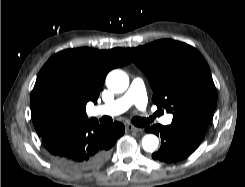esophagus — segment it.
<instances>
[{"instance_id":"obj_1","label":"esophagus","mask_w":245,"mask_h":187,"mask_svg":"<svg viewBox=\"0 0 245 187\" xmlns=\"http://www.w3.org/2000/svg\"><path fill=\"white\" fill-rule=\"evenodd\" d=\"M126 130L129 131V132H141L142 129L141 128H138L132 124H127L126 125Z\"/></svg>"}]
</instances>
